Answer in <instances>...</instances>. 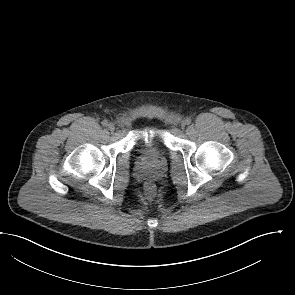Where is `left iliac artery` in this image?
Instances as JSON below:
<instances>
[{
    "instance_id": "left-iliac-artery-1",
    "label": "left iliac artery",
    "mask_w": 295,
    "mask_h": 295,
    "mask_svg": "<svg viewBox=\"0 0 295 295\" xmlns=\"http://www.w3.org/2000/svg\"><path fill=\"white\" fill-rule=\"evenodd\" d=\"M191 121H192L191 118H186L185 119V122H186L187 125L191 124Z\"/></svg>"
}]
</instances>
